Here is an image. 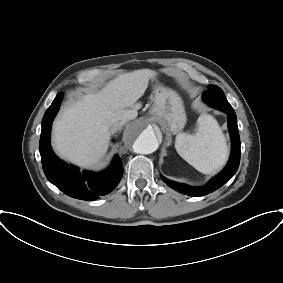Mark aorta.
Segmentation results:
<instances>
[{"instance_id":"obj_1","label":"aorta","mask_w":283,"mask_h":283,"mask_svg":"<svg viewBox=\"0 0 283 283\" xmlns=\"http://www.w3.org/2000/svg\"><path fill=\"white\" fill-rule=\"evenodd\" d=\"M123 139L135 153L139 154H151L159 145L154 128L145 121L130 124L125 130Z\"/></svg>"}]
</instances>
